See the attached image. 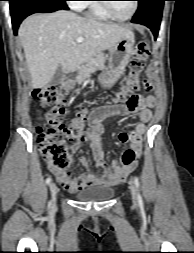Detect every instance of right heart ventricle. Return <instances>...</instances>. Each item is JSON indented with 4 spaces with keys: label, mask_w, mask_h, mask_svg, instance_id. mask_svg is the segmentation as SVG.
I'll return each mask as SVG.
<instances>
[{
    "label": "right heart ventricle",
    "mask_w": 194,
    "mask_h": 253,
    "mask_svg": "<svg viewBox=\"0 0 194 253\" xmlns=\"http://www.w3.org/2000/svg\"><path fill=\"white\" fill-rule=\"evenodd\" d=\"M87 15L93 19L106 21L111 19L109 15L102 9L98 2H90L86 5Z\"/></svg>",
    "instance_id": "1"
}]
</instances>
